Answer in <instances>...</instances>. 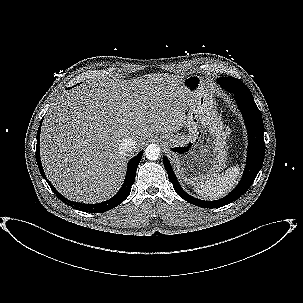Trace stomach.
Instances as JSON below:
<instances>
[{
    "label": "stomach",
    "instance_id": "obj_1",
    "mask_svg": "<svg viewBox=\"0 0 303 303\" xmlns=\"http://www.w3.org/2000/svg\"><path fill=\"white\" fill-rule=\"evenodd\" d=\"M183 85L194 94L187 107L188 134L163 132L167 151L179 178L196 185L219 173L227 162L226 133L214 99L205 90L201 76L183 79Z\"/></svg>",
    "mask_w": 303,
    "mask_h": 303
}]
</instances>
